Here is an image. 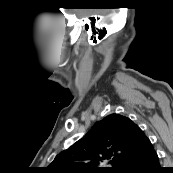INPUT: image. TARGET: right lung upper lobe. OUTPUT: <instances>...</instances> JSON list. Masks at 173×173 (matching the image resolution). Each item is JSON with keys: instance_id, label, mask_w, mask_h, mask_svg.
<instances>
[{"instance_id": "cb5924a9", "label": "right lung upper lobe", "mask_w": 173, "mask_h": 173, "mask_svg": "<svg viewBox=\"0 0 173 173\" xmlns=\"http://www.w3.org/2000/svg\"><path fill=\"white\" fill-rule=\"evenodd\" d=\"M152 146L128 117L111 114L67 150L59 153L47 173H119L131 158ZM112 167H103L108 161Z\"/></svg>"}]
</instances>
